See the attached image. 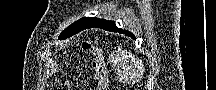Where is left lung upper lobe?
Returning <instances> with one entry per match:
<instances>
[{"mask_svg":"<svg viewBox=\"0 0 216 90\" xmlns=\"http://www.w3.org/2000/svg\"><path fill=\"white\" fill-rule=\"evenodd\" d=\"M102 19L94 17H84L67 27L60 35L59 39H66L81 30H84Z\"/></svg>","mask_w":216,"mask_h":90,"instance_id":"1","label":"left lung upper lobe"}]
</instances>
